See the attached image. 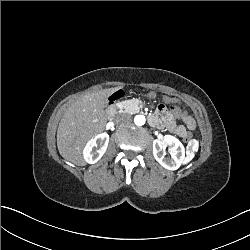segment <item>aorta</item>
Segmentation results:
<instances>
[{
  "instance_id": "1",
  "label": "aorta",
  "mask_w": 250,
  "mask_h": 250,
  "mask_svg": "<svg viewBox=\"0 0 250 250\" xmlns=\"http://www.w3.org/2000/svg\"><path fill=\"white\" fill-rule=\"evenodd\" d=\"M145 121H146V118H145L144 115L139 114V115H136L134 117V122H135L136 125L142 126V125L145 124Z\"/></svg>"
}]
</instances>
